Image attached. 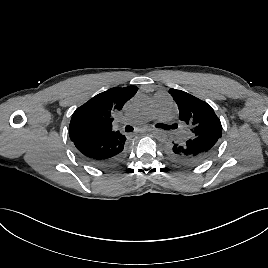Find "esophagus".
<instances>
[{"mask_svg": "<svg viewBox=\"0 0 268 268\" xmlns=\"http://www.w3.org/2000/svg\"><path fill=\"white\" fill-rule=\"evenodd\" d=\"M149 130L150 131H156L157 129L156 128H150Z\"/></svg>", "mask_w": 268, "mask_h": 268, "instance_id": "obj_1", "label": "esophagus"}]
</instances>
